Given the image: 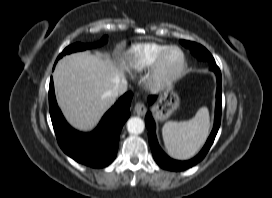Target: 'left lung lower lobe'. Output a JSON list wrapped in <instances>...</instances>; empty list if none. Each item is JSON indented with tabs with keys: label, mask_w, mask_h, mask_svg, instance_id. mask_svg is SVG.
Wrapping results in <instances>:
<instances>
[{
	"label": "left lung lower lobe",
	"mask_w": 272,
	"mask_h": 198,
	"mask_svg": "<svg viewBox=\"0 0 272 198\" xmlns=\"http://www.w3.org/2000/svg\"><path fill=\"white\" fill-rule=\"evenodd\" d=\"M210 69L212 71H214L217 76L215 122H214L213 130H212L205 146L203 147L201 152L195 158H193L189 161H177V160H174V159H171L170 157H168L161 150V148L158 145L156 135H155V123L153 121L151 114L148 113L146 115L145 123H146V127L148 129V138H149L151 150H152L155 161L158 163V165L160 167H162L164 169H168V170H172V171H181V170H185V169H188V168L194 166L195 164L200 162L205 157V155L209 151V149L215 139V136L218 132L220 122H221V101H222L221 82H222V79H221V72H220V69L218 66L214 65ZM155 99H156V96H149V98H148L149 103L153 104Z\"/></svg>",
	"instance_id": "obj_1"
}]
</instances>
